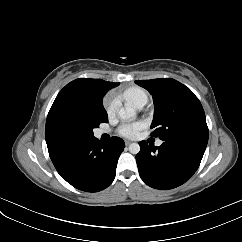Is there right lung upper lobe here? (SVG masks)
<instances>
[{
    "instance_id": "1",
    "label": "right lung upper lobe",
    "mask_w": 242,
    "mask_h": 242,
    "mask_svg": "<svg viewBox=\"0 0 242 242\" xmlns=\"http://www.w3.org/2000/svg\"><path fill=\"white\" fill-rule=\"evenodd\" d=\"M118 85L119 83L90 78H79L68 83L59 92L48 113L45 128L48 150L77 137L62 125V118L66 114L105 111L103 96Z\"/></svg>"
}]
</instances>
